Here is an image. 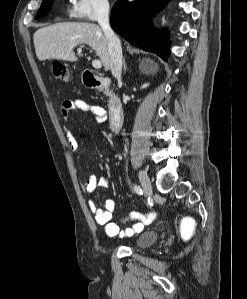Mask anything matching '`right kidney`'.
I'll list each match as a JSON object with an SVG mask.
<instances>
[{
	"instance_id": "ca27d5eb",
	"label": "right kidney",
	"mask_w": 247,
	"mask_h": 299,
	"mask_svg": "<svg viewBox=\"0 0 247 299\" xmlns=\"http://www.w3.org/2000/svg\"><path fill=\"white\" fill-rule=\"evenodd\" d=\"M149 84H144L141 88H146Z\"/></svg>"
}]
</instances>
